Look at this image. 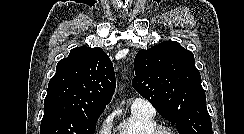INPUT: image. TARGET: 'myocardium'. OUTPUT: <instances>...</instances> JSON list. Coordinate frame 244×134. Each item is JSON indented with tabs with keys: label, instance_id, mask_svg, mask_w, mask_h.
<instances>
[{
	"label": "myocardium",
	"instance_id": "myocardium-1",
	"mask_svg": "<svg viewBox=\"0 0 244 134\" xmlns=\"http://www.w3.org/2000/svg\"><path fill=\"white\" fill-rule=\"evenodd\" d=\"M162 133L178 134L175 130H173L171 127L166 125H156L153 129L149 131L148 134H162Z\"/></svg>",
	"mask_w": 244,
	"mask_h": 134
}]
</instances>
